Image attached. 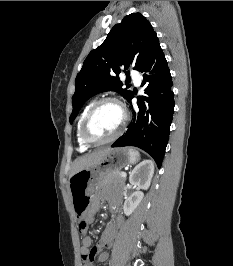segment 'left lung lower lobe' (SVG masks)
Wrapping results in <instances>:
<instances>
[{"mask_svg": "<svg viewBox=\"0 0 233 266\" xmlns=\"http://www.w3.org/2000/svg\"><path fill=\"white\" fill-rule=\"evenodd\" d=\"M139 71L143 73V84H147L146 96L138 98V110L129 128L112 147H139L149 153L160 168L174 113L172 77L160 45L152 50ZM133 97L132 93L128 101Z\"/></svg>", "mask_w": 233, "mask_h": 266, "instance_id": "left-lung-lower-lobe-1", "label": "left lung lower lobe"}]
</instances>
